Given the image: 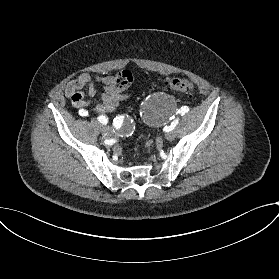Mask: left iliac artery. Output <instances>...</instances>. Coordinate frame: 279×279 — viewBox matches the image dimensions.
Masks as SVG:
<instances>
[{
    "label": "left iliac artery",
    "instance_id": "obj_1",
    "mask_svg": "<svg viewBox=\"0 0 279 279\" xmlns=\"http://www.w3.org/2000/svg\"><path fill=\"white\" fill-rule=\"evenodd\" d=\"M189 111V108L187 107V106H183V107H181V109L179 110V112L178 113H180L181 115H184L185 113H187ZM172 129H174V128H172ZM171 129V130H172Z\"/></svg>",
    "mask_w": 279,
    "mask_h": 279
}]
</instances>
